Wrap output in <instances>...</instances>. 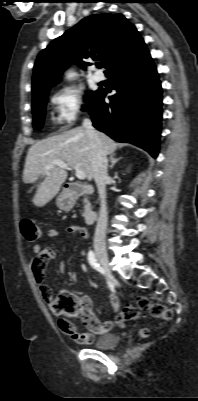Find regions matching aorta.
<instances>
[{
  "label": "aorta",
  "mask_w": 198,
  "mask_h": 401,
  "mask_svg": "<svg viewBox=\"0 0 198 401\" xmlns=\"http://www.w3.org/2000/svg\"><path fill=\"white\" fill-rule=\"evenodd\" d=\"M72 76H73V74H72V73H70L69 77H72Z\"/></svg>",
  "instance_id": "1"
}]
</instances>
